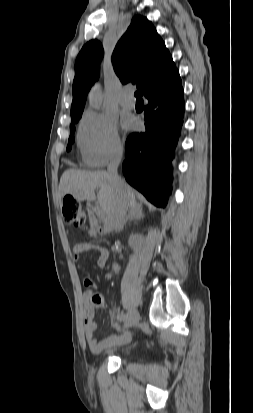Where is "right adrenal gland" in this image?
I'll use <instances>...</instances> for the list:
<instances>
[{
  "mask_svg": "<svg viewBox=\"0 0 253 413\" xmlns=\"http://www.w3.org/2000/svg\"><path fill=\"white\" fill-rule=\"evenodd\" d=\"M143 217H144V214H143L142 209H141L140 207L132 208V209L128 212V215H127L126 219L124 220V222L121 224V226H120L118 229H116V232L122 231L123 228H124V226L126 225V223H127L128 221H131V220H140V219L143 218Z\"/></svg>",
  "mask_w": 253,
  "mask_h": 413,
  "instance_id": "2a0ac1e0",
  "label": "right adrenal gland"
}]
</instances>
